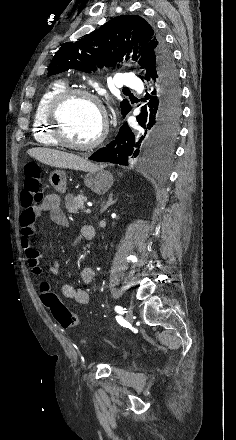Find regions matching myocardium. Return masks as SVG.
Listing matches in <instances>:
<instances>
[{"mask_svg":"<svg viewBox=\"0 0 236 440\" xmlns=\"http://www.w3.org/2000/svg\"><path fill=\"white\" fill-rule=\"evenodd\" d=\"M75 97H80L91 101L99 109L101 114L102 124L98 135L92 141L85 144L71 142L65 137L63 132L62 119L60 115L61 110L70 99ZM46 120L53 139L58 143V145L71 150L85 151L94 149L104 141L108 132V122L102 102L95 94L81 88H65L57 93L47 107Z\"/></svg>","mask_w":236,"mask_h":440,"instance_id":"obj_1","label":"myocardium"}]
</instances>
